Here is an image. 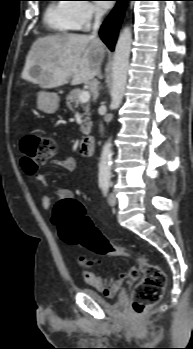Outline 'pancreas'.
<instances>
[{
    "label": "pancreas",
    "instance_id": "cf45deb5",
    "mask_svg": "<svg viewBox=\"0 0 193 349\" xmlns=\"http://www.w3.org/2000/svg\"><path fill=\"white\" fill-rule=\"evenodd\" d=\"M83 90L80 89H74L72 91H70V93L67 95L66 97V106L68 109H70L71 111H73V104L75 103H79V95ZM83 105V109H84V114L81 115V117H84L83 119V123L80 127V131L87 135L90 133L91 130V126H92V122L90 121V109H89V104H83V102H80Z\"/></svg>",
    "mask_w": 193,
    "mask_h": 349
}]
</instances>
